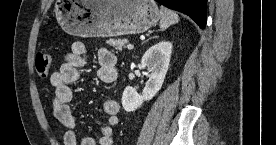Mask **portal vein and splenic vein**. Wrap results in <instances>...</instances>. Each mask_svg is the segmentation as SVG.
I'll list each match as a JSON object with an SVG mask.
<instances>
[{
	"mask_svg": "<svg viewBox=\"0 0 276 145\" xmlns=\"http://www.w3.org/2000/svg\"><path fill=\"white\" fill-rule=\"evenodd\" d=\"M133 48H134V45H132V44L127 45V49L132 50Z\"/></svg>",
	"mask_w": 276,
	"mask_h": 145,
	"instance_id": "portal-vein-and-splenic-vein-1",
	"label": "portal vein and splenic vein"
}]
</instances>
